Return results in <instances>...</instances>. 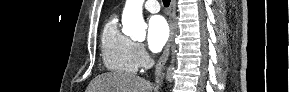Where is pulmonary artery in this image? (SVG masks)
I'll list each match as a JSON object with an SVG mask.
<instances>
[{"instance_id":"e3ab8cb5","label":"pulmonary artery","mask_w":289,"mask_h":92,"mask_svg":"<svg viewBox=\"0 0 289 92\" xmlns=\"http://www.w3.org/2000/svg\"><path fill=\"white\" fill-rule=\"evenodd\" d=\"M144 8L151 13H157L160 10V6L157 0H147L144 3Z\"/></svg>"}]
</instances>
